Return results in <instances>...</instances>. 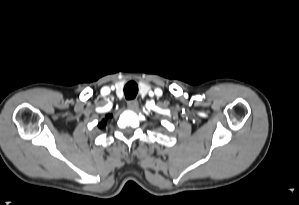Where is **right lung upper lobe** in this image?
<instances>
[{"label":"right lung upper lobe","instance_id":"obj_1","mask_svg":"<svg viewBox=\"0 0 299 205\" xmlns=\"http://www.w3.org/2000/svg\"><path fill=\"white\" fill-rule=\"evenodd\" d=\"M107 123L106 119H104L100 124L99 127L102 128L103 126H105Z\"/></svg>","mask_w":299,"mask_h":205}]
</instances>
